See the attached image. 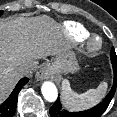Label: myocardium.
I'll return each instance as SVG.
<instances>
[{"mask_svg": "<svg viewBox=\"0 0 117 117\" xmlns=\"http://www.w3.org/2000/svg\"><path fill=\"white\" fill-rule=\"evenodd\" d=\"M102 47V40L98 36H92L87 39L86 50L89 53H95Z\"/></svg>", "mask_w": 117, "mask_h": 117, "instance_id": "1", "label": "myocardium"}]
</instances>
